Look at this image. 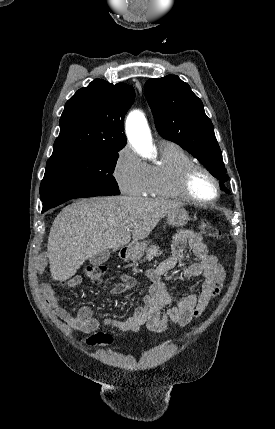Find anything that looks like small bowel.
<instances>
[{"mask_svg":"<svg viewBox=\"0 0 275 429\" xmlns=\"http://www.w3.org/2000/svg\"><path fill=\"white\" fill-rule=\"evenodd\" d=\"M187 246L192 249L197 261L183 266L182 273L188 279L201 277V288L198 294H185L178 297L176 303L172 305L173 296L166 290L162 276L185 261ZM146 276L151 281V286L149 294L143 297L142 304L124 319L106 318L103 321L105 326L121 332H137L144 324L155 332L167 331L169 322L181 327L186 326L194 318L199 317L208 304L220 294L225 271L217 258L208 252L201 234L191 230H181L174 237L170 256L155 269L148 270ZM67 283L70 287H77L82 283V277L75 275L68 279ZM134 284L135 280L131 276L122 275L119 282L112 288V293H123ZM42 294L46 305L70 328L85 334L99 328L101 323L93 316L91 306H82L76 316H73L62 305L50 286L45 285Z\"/></svg>","mask_w":275,"mask_h":429,"instance_id":"small-bowel-1","label":"small bowel"}]
</instances>
